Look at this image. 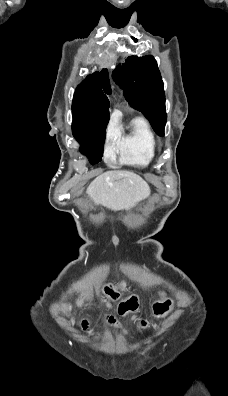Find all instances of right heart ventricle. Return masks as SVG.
<instances>
[{
    "instance_id": "right-heart-ventricle-1",
    "label": "right heart ventricle",
    "mask_w": 228,
    "mask_h": 396,
    "mask_svg": "<svg viewBox=\"0 0 228 396\" xmlns=\"http://www.w3.org/2000/svg\"><path fill=\"white\" fill-rule=\"evenodd\" d=\"M119 132L116 151L120 161L134 166H147L155 156L156 139L146 121L135 118L127 131L119 128Z\"/></svg>"
}]
</instances>
